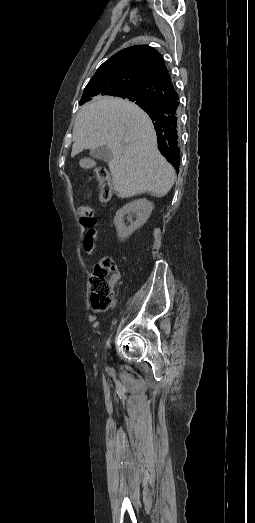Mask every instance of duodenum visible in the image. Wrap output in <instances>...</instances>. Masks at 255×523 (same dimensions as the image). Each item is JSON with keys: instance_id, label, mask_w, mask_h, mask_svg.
Listing matches in <instances>:
<instances>
[{"instance_id": "duodenum-1", "label": "duodenum", "mask_w": 255, "mask_h": 523, "mask_svg": "<svg viewBox=\"0 0 255 523\" xmlns=\"http://www.w3.org/2000/svg\"><path fill=\"white\" fill-rule=\"evenodd\" d=\"M87 166H88V167H91V166H93V162H91V161H88V162H87Z\"/></svg>"}]
</instances>
